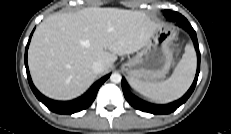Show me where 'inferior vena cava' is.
<instances>
[{"instance_id":"obj_1","label":"inferior vena cava","mask_w":231,"mask_h":134,"mask_svg":"<svg viewBox=\"0 0 231 134\" xmlns=\"http://www.w3.org/2000/svg\"><path fill=\"white\" fill-rule=\"evenodd\" d=\"M92 69L96 74L102 73L104 71V64L100 61H96L93 63Z\"/></svg>"}]
</instances>
